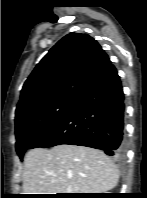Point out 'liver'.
<instances>
[{"mask_svg": "<svg viewBox=\"0 0 147 198\" xmlns=\"http://www.w3.org/2000/svg\"><path fill=\"white\" fill-rule=\"evenodd\" d=\"M23 194L103 193L119 179L102 151L77 145L31 149L24 158Z\"/></svg>", "mask_w": 147, "mask_h": 198, "instance_id": "6515ba94", "label": "liver"}]
</instances>
